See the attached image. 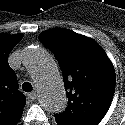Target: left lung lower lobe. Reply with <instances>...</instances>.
Masks as SVG:
<instances>
[{"label":"left lung lower lobe","instance_id":"1","mask_svg":"<svg viewBox=\"0 0 125 125\" xmlns=\"http://www.w3.org/2000/svg\"><path fill=\"white\" fill-rule=\"evenodd\" d=\"M57 124H58V125H64V124H61V123H59V122H57Z\"/></svg>","mask_w":125,"mask_h":125}]
</instances>
